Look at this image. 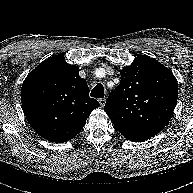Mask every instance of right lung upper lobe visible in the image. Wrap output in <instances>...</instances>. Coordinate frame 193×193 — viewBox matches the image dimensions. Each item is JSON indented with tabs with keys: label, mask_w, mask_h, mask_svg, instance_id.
<instances>
[{
	"label": "right lung upper lobe",
	"mask_w": 193,
	"mask_h": 193,
	"mask_svg": "<svg viewBox=\"0 0 193 193\" xmlns=\"http://www.w3.org/2000/svg\"><path fill=\"white\" fill-rule=\"evenodd\" d=\"M26 119L43 138L63 143L76 136L90 113L100 106L89 98L79 68L61 54L43 61L26 77L21 88Z\"/></svg>",
	"instance_id": "obj_1"
}]
</instances>
